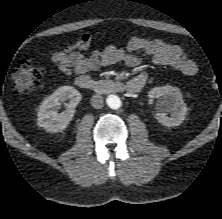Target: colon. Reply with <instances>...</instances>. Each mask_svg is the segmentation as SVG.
<instances>
[{
  "label": "colon",
  "instance_id": "obj_1",
  "mask_svg": "<svg viewBox=\"0 0 222 219\" xmlns=\"http://www.w3.org/2000/svg\"><path fill=\"white\" fill-rule=\"evenodd\" d=\"M46 76V69L37 65L30 58L18 61L11 72L12 88L16 93H22L36 88ZM212 84L216 80L212 79Z\"/></svg>",
  "mask_w": 222,
  "mask_h": 219
}]
</instances>
